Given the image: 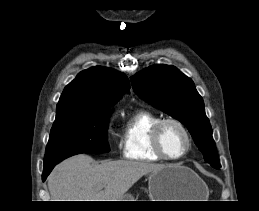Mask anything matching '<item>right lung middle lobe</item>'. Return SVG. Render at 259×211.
<instances>
[{
	"instance_id": "right-lung-middle-lobe-1",
	"label": "right lung middle lobe",
	"mask_w": 259,
	"mask_h": 211,
	"mask_svg": "<svg viewBox=\"0 0 259 211\" xmlns=\"http://www.w3.org/2000/svg\"><path fill=\"white\" fill-rule=\"evenodd\" d=\"M110 110L73 109L56 115L46 147L44 167L80 153H106Z\"/></svg>"
}]
</instances>
